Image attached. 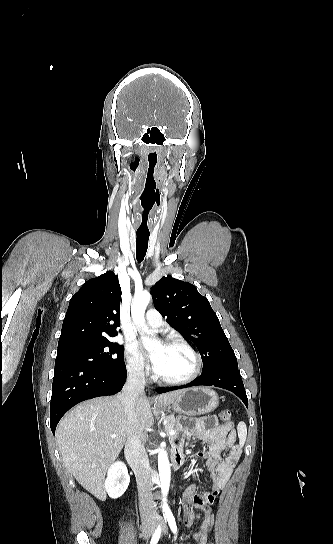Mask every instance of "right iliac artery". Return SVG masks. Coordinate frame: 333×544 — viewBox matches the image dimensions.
Returning a JSON list of instances; mask_svg holds the SVG:
<instances>
[{"label":"right iliac artery","mask_w":333,"mask_h":544,"mask_svg":"<svg viewBox=\"0 0 333 544\" xmlns=\"http://www.w3.org/2000/svg\"><path fill=\"white\" fill-rule=\"evenodd\" d=\"M160 535H161V526L159 525L151 538L150 544H157V542L159 541Z\"/></svg>","instance_id":"right-iliac-artery-1"}]
</instances>
